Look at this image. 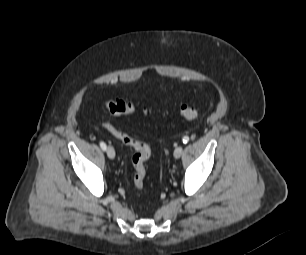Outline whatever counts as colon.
Listing matches in <instances>:
<instances>
[{
  "label": "colon",
  "instance_id": "1",
  "mask_svg": "<svg viewBox=\"0 0 306 255\" xmlns=\"http://www.w3.org/2000/svg\"><path fill=\"white\" fill-rule=\"evenodd\" d=\"M105 107L106 110L114 116H130L137 112L136 107L132 103L122 99L109 100ZM179 112L181 116L187 120H195L198 117L197 109L189 104H182L179 108ZM102 126L113 137L134 150L132 156L134 168L133 182L138 190H143L146 176L145 163L151 155L150 146L139 139L131 137L126 132L121 131L110 123L102 122Z\"/></svg>",
  "mask_w": 306,
  "mask_h": 255
}]
</instances>
